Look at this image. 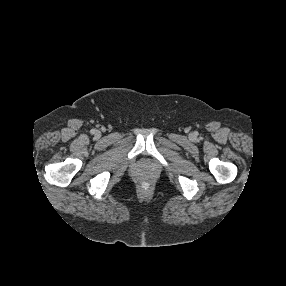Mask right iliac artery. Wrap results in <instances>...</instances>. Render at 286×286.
I'll return each mask as SVG.
<instances>
[{"mask_svg": "<svg viewBox=\"0 0 286 286\" xmlns=\"http://www.w3.org/2000/svg\"><path fill=\"white\" fill-rule=\"evenodd\" d=\"M91 132H92V133H94V132H95V130H94V129H92V130H91Z\"/></svg>", "mask_w": 286, "mask_h": 286, "instance_id": "82829eb1", "label": "right iliac artery"}]
</instances>
